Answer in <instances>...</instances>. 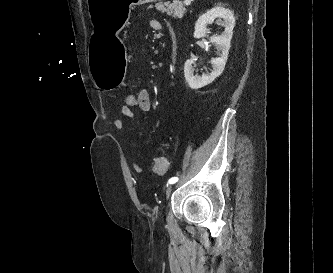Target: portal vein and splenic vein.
<instances>
[{"mask_svg": "<svg viewBox=\"0 0 333 273\" xmlns=\"http://www.w3.org/2000/svg\"><path fill=\"white\" fill-rule=\"evenodd\" d=\"M191 1H193V0H184V4L185 5H190Z\"/></svg>", "mask_w": 333, "mask_h": 273, "instance_id": "18ae733b", "label": "portal vein and splenic vein"}]
</instances>
